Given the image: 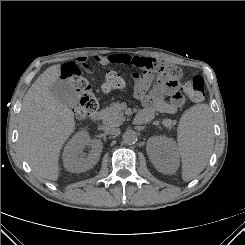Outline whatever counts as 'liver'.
<instances>
[{
	"mask_svg": "<svg viewBox=\"0 0 245 245\" xmlns=\"http://www.w3.org/2000/svg\"><path fill=\"white\" fill-rule=\"evenodd\" d=\"M61 75V65L46 69L23 98L19 119V150L41 178L56 181L59 155L75 130L72 110L59 102L50 87Z\"/></svg>",
	"mask_w": 245,
	"mask_h": 245,
	"instance_id": "6515ba94",
	"label": "liver"
}]
</instances>
